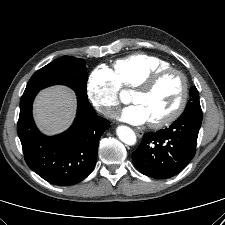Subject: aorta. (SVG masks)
Segmentation results:
<instances>
[{
    "label": "aorta",
    "mask_w": 225,
    "mask_h": 225,
    "mask_svg": "<svg viewBox=\"0 0 225 225\" xmlns=\"http://www.w3.org/2000/svg\"><path fill=\"white\" fill-rule=\"evenodd\" d=\"M116 133L123 143L130 146L136 143V135L131 128L127 126H119L116 130Z\"/></svg>",
    "instance_id": "1"
}]
</instances>
